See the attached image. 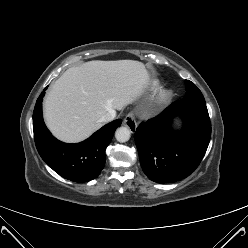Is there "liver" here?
<instances>
[{"instance_id": "obj_1", "label": "liver", "mask_w": 248, "mask_h": 248, "mask_svg": "<svg viewBox=\"0 0 248 248\" xmlns=\"http://www.w3.org/2000/svg\"><path fill=\"white\" fill-rule=\"evenodd\" d=\"M150 76L134 60L90 61L69 68L44 100L48 128L60 140L79 142L102 127L101 117L121 110L144 90Z\"/></svg>"}]
</instances>
